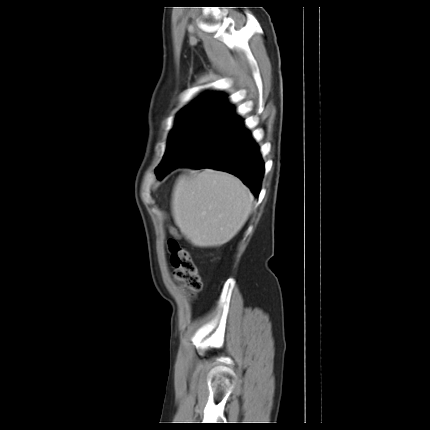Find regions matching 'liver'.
Wrapping results in <instances>:
<instances>
[{
    "mask_svg": "<svg viewBox=\"0 0 430 430\" xmlns=\"http://www.w3.org/2000/svg\"><path fill=\"white\" fill-rule=\"evenodd\" d=\"M254 197L232 174L205 169L179 177L172 195V212L181 233L198 247L230 241L251 213Z\"/></svg>",
    "mask_w": 430,
    "mask_h": 430,
    "instance_id": "liver-1",
    "label": "liver"
}]
</instances>
